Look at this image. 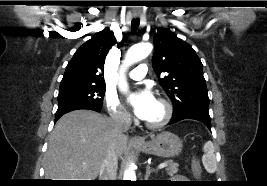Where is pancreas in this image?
I'll use <instances>...</instances> for the list:
<instances>
[{"mask_svg": "<svg viewBox=\"0 0 267 186\" xmlns=\"http://www.w3.org/2000/svg\"><path fill=\"white\" fill-rule=\"evenodd\" d=\"M166 163H167L166 171L170 176L178 172V166H179L178 163H173L170 161H167Z\"/></svg>", "mask_w": 267, "mask_h": 186, "instance_id": "obj_1", "label": "pancreas"}]
</instances>
